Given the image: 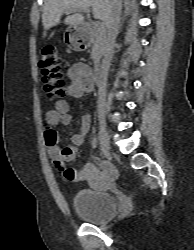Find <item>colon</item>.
Listing matches in <instances>:
<instances>
[{"instance_id": "colon-1", "label": "colon", "mask_w": 194, "mask_h": 250, "mask_svg": "<svg viewBox=\"0 0 194 250\" xmlns=\"http://www.w3.org/2000/svg\"><path fill=\"white\" fill-rule=\"evenodd\" d=\"M60 64L61 58L54 46L42 49L39 65L44 76L45 91L51 98H61L65 93L66 80Z\"/></svg>"}]
</instances>
